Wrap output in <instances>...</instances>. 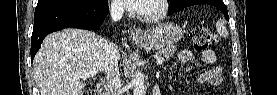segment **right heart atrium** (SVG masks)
Masks as SVG:
<instances>
[{"mask_svg":"<svg viewBox=\"0 0 277 95\" xmlns=\"http://www.w3.org/2000/svg\"><path fill=\"white\" fill-rule=\"evenodd\" d=\"M112 11L115 16H119L122 14L123 9L120 5L115 3L113 4Z\"/></svg>","mask_w":277,"mask_h":95,"instance_id":"d8ad5b80","label":"right heart atrium"}]
</instances>
